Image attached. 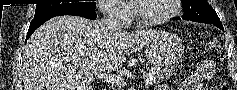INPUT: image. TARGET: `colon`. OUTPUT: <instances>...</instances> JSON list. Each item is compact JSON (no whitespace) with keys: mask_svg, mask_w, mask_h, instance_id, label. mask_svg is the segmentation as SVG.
I'll return each instance as SVG.
<instances>
[{"mask_svg":"<svg viewBox=\"0 0 237 90\" xmlns=\"http://www.w3.org/2000/svg\"><path fill=\"white\" fill-rule=\"evenodd\" d=\"M215 51H216L217 58L221 59L222 58V53L220 51V48L216 47ZM221 90H229V89H228V87L225 84H223L222 87H221Z\"/></svg>","mask_w":237,"mask_h":90,"instance_id":"5ec220e1","label":"colon"}]
</instances>
